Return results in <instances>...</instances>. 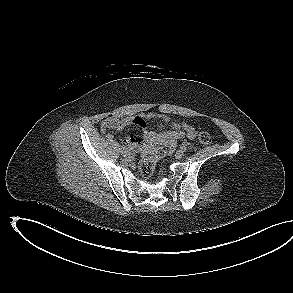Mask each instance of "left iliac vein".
Listing matches in <instances>:
<instances>
[{
	"label": "left iliac vein",
	"instance_id": "1",
	"mask_svg": "<svg viewBox=\"0 0 293 293\" xmlns=\"http://www.w3.org/2000/svg\"><path fill=\"white\" fill-rule=\"evenodd\" d=\"M184 155V152L182 150H177L176 153H175V157L177 159H181Z\"/></svg>",
	"mask_w": 293,
	"mask_h": 293
}]
</instances>
